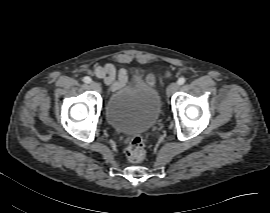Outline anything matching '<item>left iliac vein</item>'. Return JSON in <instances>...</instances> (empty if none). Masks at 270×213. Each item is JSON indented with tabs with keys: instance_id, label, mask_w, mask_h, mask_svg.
<instances>
[{
	"instance_id": "4c4485c4",
	"label": "left iliac vein",
	"mask_w": 270,
	"mask_h": 213,
	"mask_svg": "<svg viewBox=\"0 0 270 213\" xmlns=\"http://www.w3.org/2000/svg\"><path fill=\"white\" fill-rule=\"evenodd\" d=\"M178 83L177 82H172L169 84V86L166 89L167 96H171L177 89H178Z\"/></svg>"
}]
</instances>
